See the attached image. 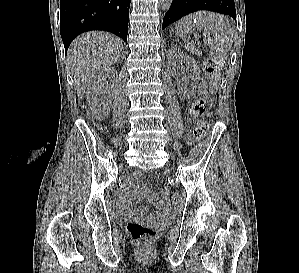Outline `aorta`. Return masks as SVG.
<instances>
[{
  "label": "aorta",
  "instance_id": "aorta-1",
  "mask_svg": "<svg viewBox=\"0 0 299 273\" xmlns=\"http://www.w3.org/2000/svg\"><path fill=\"white\" fill-rule=\"evenodd\" d=\"M161 1V6L163 10H168L172 4L173 0H160Z\"/></svg>",
  "mask_w": 299,
  "mask_h": 273
}]
</instances>
